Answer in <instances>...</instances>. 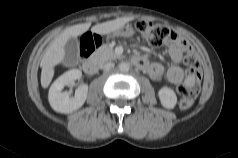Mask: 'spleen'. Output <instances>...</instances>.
I'll return each instance as SVG.
<instances>
[{
  "label": "spleen",
  "mask_w": 238,
  "mask_h": 158,
  "mask_svg": "<svg viewBox=\"0 0 238 158\" xmlns=\"http://www.w3.org/2000/svg\"><path fill=\"white\" fill-rule=\"evenodd\" d=\"M192 82H193V77H192V76H189V77L186 79V81H185V83H186L187 85H190Z\"/></svg>",
  "instance_id": "1"
}]
</instances>
